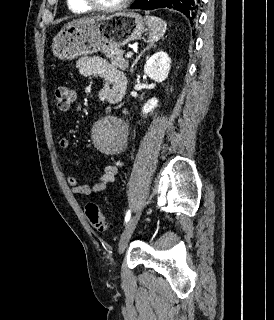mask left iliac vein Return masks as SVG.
Instances as JSON below:
<instances>
[{
	"mask_svg": "<svg viewBox=\"0 0 274 320\" xmlns=\"http://www.w3.org/2000/svg\"><path fill=\"white\" fill-rule=\"evenodd\" d=\"M141 215V211H138L127 223L126 227L124 228L121 237H120V241H119V248L118 251L119 253H123L128 242L129 239L131 238V235L133 234L136 225L138 223V220L140 218Z\"/></svg>",
	"mask_w": 274,
	"mask_h": 320,
	"instance_id": "obj_1",
	"label": "left iliac vein"
}]
</instances>
